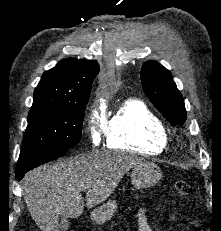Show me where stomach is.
Instances as JSON below:
<instances>
[{"label": "stomach", "mask_w": 221, "mask_h": 231, "mask_svg": "<svg viewBox=\"0 0 221 231\" xmlns=\"http://www.w3.org/2000/svg\"><path fill=\"white\" fill-rule=\"evenodd\" d=\"M162 177L160 168L153 162H142L135 166L131 173L132 184L136 188H146L156 184ZM117 209L116 201H108L95 208L91 214V219L102 224L112 218Z\"/></svg>", "instance_id": "1"}]
</instances>
